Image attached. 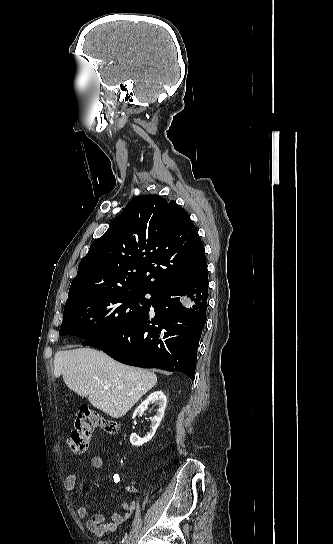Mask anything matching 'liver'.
<instances>
[{
    "label": "liver",
    "instance_id": "obj_1",
    "mask_svg": "<svg viewBox=\"0 0 333 544\" xmlns=\"http://www.w3.org/2000/svg\"><path fill=\"white\" fill-rule=\"evenodd\" d=\"M54 375H62L69 389L113 418L125 415L157 383L153 372L121 364L92 348L58 351Z\"/></svg>",
    "mask_w": 333,
    "mask_h": 544
}]
</instances>
